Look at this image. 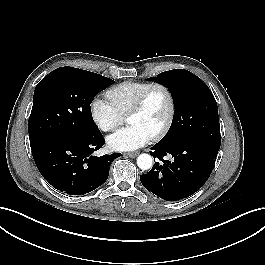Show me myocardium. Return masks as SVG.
Here are the masks:
<instances>
[{
	"instance_id": "myocardium-1",
	"label": "myocardium",
	"mask_w": 265,
	"mask_h": 265,
	"mask_svg": "<svg viewBox=\"0 0 265 265\" xmlns=\"http://www.w3.org/2000/svg\"><path fill=\"white\" fill-rule=\"evenodd\" d=\"M156 89L162 90L165 93L167 100H168V111H167V115L165 117L163 124L152 135V139H154V140H158V139L162 138L168 132V130H169V128L173 122V118H174V114H175L174 96H173L171 89L167 85H165L163 83H152L150 86H148L141 93V95L138 97V99L133 104V106L131 107V109L129 110V112L127 114V116L129 117L130 115H133V114H136V113H139L140 111H142V109L144 108L149 96Z\"/></svg>"
}]
</instances>
